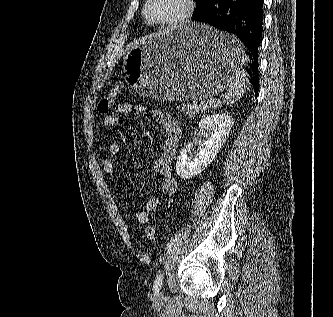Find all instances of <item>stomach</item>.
<instances>
[{"label": "stomach", "mask_w": 333, "mask_h": 317, "mask_svg": "<svg viewBox=\"0 0 333 317\" xmlns=\"http://www.w3.org/2000/svg\"><path fill=\"white\" fill-rule=\"evenodd\" d=\"M246 45L214 24L167 28L130 47L123 58L128 83L144 97L198 101L234 88Z\"/></svg>", "instance_id": "stomach-1"}]
</instances>
